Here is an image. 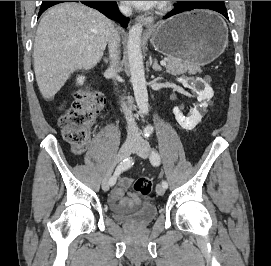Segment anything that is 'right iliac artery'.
Wrapping results in <instances>:
<instances>
[{
  "mask_svg": "<svg viewBox=\"0 0 271 266\" xmlns=\"http://www.w3.org/2000/svg\"><path fill=\"white\" fill-rule=\"evenodd\" d=\"M133 165L132 158L124 159L115 169L113 176L110 178V185H114L116 183L117 177L123 172L129 169Z\"/></svg>",
  "mask_w": 271,
  "mask_h": 266,
  "instance_id": "obj_1",
  "label": "right iliac artery"
}]
</instances>
